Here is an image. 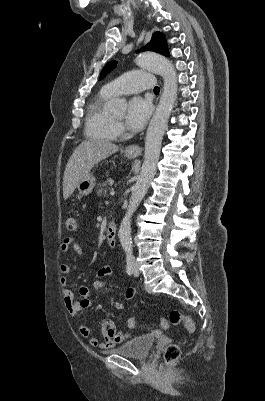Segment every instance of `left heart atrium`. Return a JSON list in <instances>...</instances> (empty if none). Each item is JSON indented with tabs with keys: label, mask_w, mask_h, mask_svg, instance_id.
<instances>
[{
	"label": "left heart atrium",
	"mask_w": 265,
	"mask_h": 401,
	"mask_svg": "<svg viewBox=\"0 0 265 401\" xmlns=\"http://www.w3.org/2000/svg\"><path fill=\"white\" fill-rule=\"evenodd\" d=\"M151 114L150 104L141 97H133L127 108V123L135 131L140 130Z\"/></svg>",
	"instance_id": "obj_1"
}]
</instances>
